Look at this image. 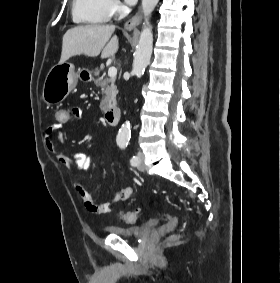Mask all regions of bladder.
Wrapping results in <instances>:
<instances>
[{
	"mask_svg": "<svg viewBox=\"0 0 280 283\" xmlns=\"http://www.w3.org/2000/svg\"><path fill=\"white\" fill-rule=\"evenodd\" d=\"M162 223L160 218H153L141 225H113L105 228L108 234L139 241L157 230Z\"/></svg>",
	"mask_w": 280,
	"mask_h": 283,
	"instance_id": "31cf9c89",
	"label": "bladder"
}]
</instances>
